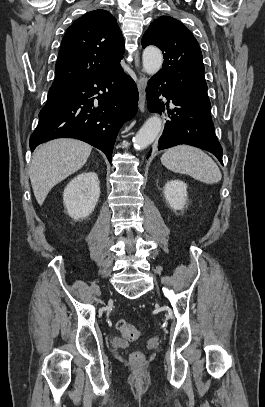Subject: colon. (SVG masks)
Segmentation results:
<instances>
[{
  "mask_svg": "<svg viewBox=\"0 0 265 407\" xmlns=\"http://www.w3.org/2000/svg\"><path fill=\"white\" fill-rule=\"evenodd\" d=\"M116 326L120 333L130 341L138 340L144 329L143 325H132L124 319L118 320ZM130 360L136 363H141L144 360V355L139 351L133 352L130 355Z\"/></svg>",
  "mask_w": 265,
  "mask_h": 407,
  "instance_id": "obj_1",
  "label": "colon"
}]
</instances>
